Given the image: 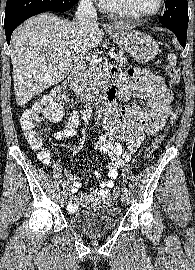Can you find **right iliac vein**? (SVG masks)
I'll return each mask as SVG.
<instances>
[{
    "mask_svg": "<svg viewBox=\"0 0 195 270\" xmlns=\"http://www.w3.org/2000/svg\"><path fill=\"white\" fill-rule=\"evenodd\" d=\"M66 199H67V194H66L65 191H63V192L61 193V201H62V203H64V202L66 201Z\"/></svg>",
    "mask_w": 195,
    "mask_h": 270,
    "instance_id": "right-iliac-vein-1",
    "label": "right iliac vein"
}]
</instances>
